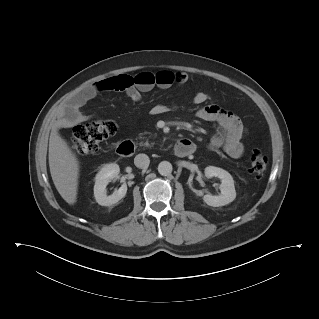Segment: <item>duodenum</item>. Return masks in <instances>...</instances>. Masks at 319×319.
Returning a JSON list of instances; mask_svg holds the SVG:
<instances>
[{"label":"duodenum","instance_id":"410a0bca","mask_svg":"<svg viewBox=\"0 0 319 319\" xmlns=\"http://www.w3.org/2000/svg\"><path fill=\"white\" fill-rule=\"evenodd\" d=\"M134 143L132 141H123L117 147V153L120 156H129L134 151ZM195 150L194 143L189 139H181L179 140L175 147L174 153L178 157H187L191 155Z\"/></svg>","mask_w":319,"mask_h":319}]
</instances>
